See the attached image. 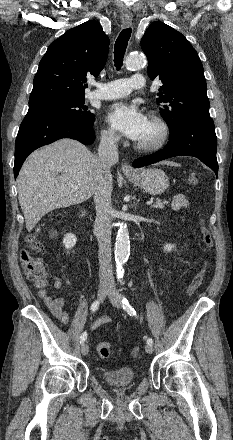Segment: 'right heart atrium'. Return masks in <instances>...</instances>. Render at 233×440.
<instances>
[{"mask_svg":"<svg viewBox=\"0 0 233 440\" xmlns=\"http://www.w3.org/2000/svg\"><path fill=\"white\" fill-rule=\"evenodd\" d=\"M101 138L107 145H114L118 142V135L110 128H105L101 131Z\"/></svg>","mask_w":233,"mask_h":440,"instance_id":"d8ad5b80","label":"right heart atrium"}]
</instances>
